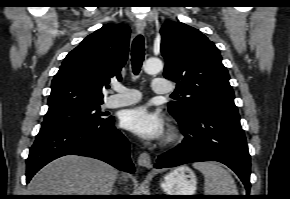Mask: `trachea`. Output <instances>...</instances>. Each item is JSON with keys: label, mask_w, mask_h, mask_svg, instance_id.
Listing matches in <instances>:
<instances>
[{"label": "trachea", "mask_w": 290, "mask_h": 199, "mask_svg": "<svg viewBox=\"0 0 290 199\" xmlns=\"http://www.w3.org/2000/svg\"><path fill=\"white\" fill-rule=\"evenodd\" d=\"M145 55L144 38L138 35L132 43L131 63L134 75H138Z\"/></svg>", "instance_id": "obj_1"}]
</instances>
